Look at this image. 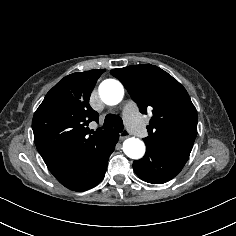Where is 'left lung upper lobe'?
Here are the masks:
<instances>
[{
    "mask_svg": "<svg viewBox=\"0 0 236 236\" xmlns=\"http://www.w3.org/2000/svg\"><path fill=\"white\" fill-rule=\"evenodd\" d=\"M111 74L124 84L143 114L152 110L145 144L189 157L197 135V111L185 88L151 64L117 68Z\"/></svg>",
    "mask_w": 236,
    "mask_h": 236,
    "instance_id": "left-lung-upper-lobe-1",
    "label": "left lung upper lobe"
}]
</instances>
